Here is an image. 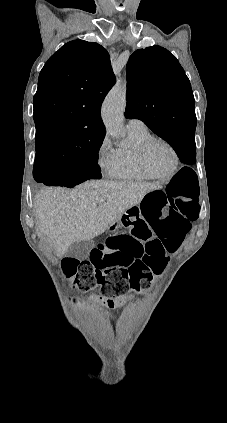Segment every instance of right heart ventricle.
Instances as JSON below:
<instances>
[{"mask_svg": "<svg viewBox=\"0 0 227 423\" xmlns=\"http://www.w3.org/2000/svg\"><path fill=\"white\" fill-rule=\"evenodd\" d=\"M149 137L151 135L146 128L128 130L129 146L115 150L116 167L112 177L124 180L146 179L137 167L135 153L138 146Z\"/></svg>", "mask_w": 227, "mask_h": 423, "instance_id": "right-heart-ventricle-1", "label": "right heart ventricle"}]
</instances>
